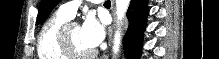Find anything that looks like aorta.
I'll return each instance as SVG.
<instances>
[{"label": "aorta", "mask_w": 219, "mask_h": 59, "mask_svg": "<svg viewBox=\"0 0 219 59\" xmlns=\"http://www.w3.org/2000/svg\"><path fill=\"white\" fill-rule=\"evenodd\" d=\"M130 0H116V15L118 21H122L125 16V13L129 7ZM119 23V22H118ZM121 45V33L116 30L114 34V42H113V55L114 57L118 55Z\"/></svg>", "instance_id": "obj_1"}]
</instances>
